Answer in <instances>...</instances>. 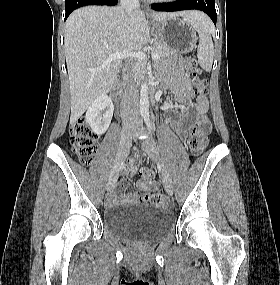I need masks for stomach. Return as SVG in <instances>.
<instances>
[{"instance_id":"0dacf381","label":"stomach","mask_w":280,"mask_h":285,"mask_svg":"<svg viewBox=\"0 0 280 285\" xmlns=\"http://www.w3.org/2000/svg\"><path fill=\"white\" fill-rule=\"evenodd\" d=\"M155 29L160 42L174 52L188 53L196 46L194 27L187 20L170 17L156 24Z\"/></svg>"}]
</instances>
